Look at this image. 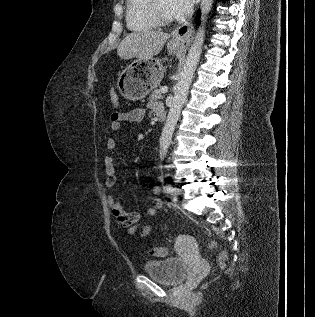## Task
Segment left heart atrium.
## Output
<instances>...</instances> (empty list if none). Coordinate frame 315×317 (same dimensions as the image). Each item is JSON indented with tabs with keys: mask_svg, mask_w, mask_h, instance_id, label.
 <instances>
[{
	"mask_svg": "<svg viewBox=\"0 0 315 317\" xmlns=\"http://www.w3.org/2000/svg\"><path fill=\"white\" fill-rule=\"evenodd\" d=\"M166 7L172 18L182 19L192 11L193 0H167Z\"/></svg>",
	"mask_w": 315,
	"mask_h": 317,
	"instance_id": "obj_1",
	"label": "left heart atrium"
}]
</instances>
